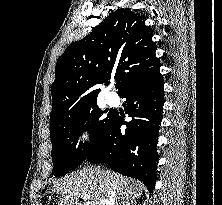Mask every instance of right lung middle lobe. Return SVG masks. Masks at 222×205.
I'll return each instance as SVG.
<instances>
[{
	"label": "right lung middle lobe",
	"instance_id": "1",
	"mask_svg": "<svg viewBox=\"0 0 222 205\" xmlns=\"http://www.w3.org/2000/svg\"><path fill=\"white\" fill-rule=\"evenodd\" d=\"M106 112L94 104L69 117L50 123L53 175L62 176L83 163L96 140L114 119L112 112L104 118L103 114ZM86 130L89 131L91 141L85 144L80 142L76 148L79 136Z\"/></svg>",
	"mask_w": 222,
	"mask_h": 205
}]
</instances>
